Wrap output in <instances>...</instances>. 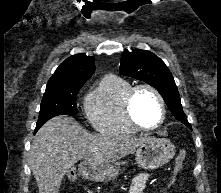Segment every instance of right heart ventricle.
<instances>
[{
  "label": "right heart ventricle",
  "mask_w": 221,
  "mask_h": 193,
  "mask_svg": "<svg viewBox=\"0 0 221 193\" xmlns=\"http://www.w3.org/2000/svg\"><path fill=\"white\" fill-rule=\"evenodd\" d=\"M132 84L120 77L108 75L85 99V115L94 129L105 134H135L124 111V99Z\"/></svg>",
  "instance_id": "1"
}]
</instances>
